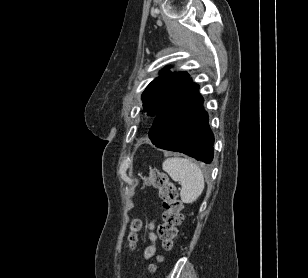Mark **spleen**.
<instances>
[{
  "label": "spleen",
  "mask_w": 308,
  "mask_h": 278,
  "mask_svg": "<svg viewBox=\"0 0 308 278\" xmlns=\"http://www.w3.org/2000/svg\"><path fill=\"white\" fill-rule=\"evenodd\" d=\"M163 170L182 186L180 197L183 203L197 200L204 189V176L199 166L187 158L170 157L163 162Z\"/></svg>",
  "instance_id": "obj_1"
}]
</instances>
